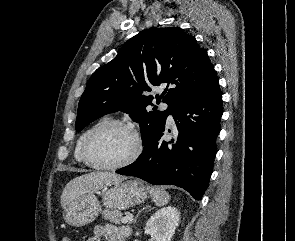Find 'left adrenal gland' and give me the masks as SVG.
<instances>
[{
  "mask_svg": "<svg viewBox=\"0 0 295 241\" xmlns=\"http://www.w3.org/2000/svg\"><path fill=\"white\" fill-rule=\"evenodd\" d=\"M148 208H150V206H149V205H146V206H144L141 210H139L138 214H137L136 217L134 218V223L136 222V219H137L139 213H140L141 211H143V210L148 209Z\"/></svg>",
  "mask_w": 295,
  "mask_h": 241,
  "instance_id": "obj_1",
  "label": "left adrenal gland"
}]
</instances>
